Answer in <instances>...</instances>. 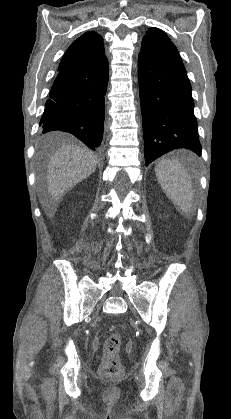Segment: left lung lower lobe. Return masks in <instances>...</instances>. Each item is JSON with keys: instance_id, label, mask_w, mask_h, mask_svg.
Segmentation results:
<instances>
[{"instance_id": "left-lung-lower-lobe-1", "label": "left lung lower lobe", "mask_w": 231, "mask_h": 419, "mask_svg": "<svg viewBox=\"0 0 231 419\" xmlns=\"http://www.w3.org/2000/svg\"><path fill=\"white\" fill-rule=\"evenodd\" d=\"M146 166L175 149L201 155L191 85L183 66L138 56Z\"/></svg>"}]
</instances>
